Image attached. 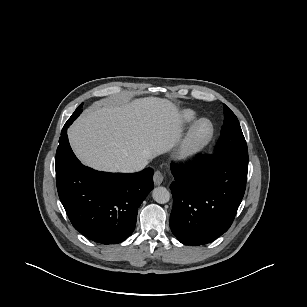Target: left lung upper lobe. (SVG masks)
Masks as SVG:
<instances>
[{
    "label": "left lung upper lobe",
    "mask_w": 307,
    "mask_h": 307,
    "mask_svg": "<svg viewBox=\"0 0 307 307\" xmlns=\"http://www.w3.org/2000/svg\"><path fill=\"white\" fill-rule=\"evenodd\" d=\"M213 156H230L248 163L247 144L235 114L224 105V123Z\"/></svg>",
    "instance_id": "1"
}]
</instances>
